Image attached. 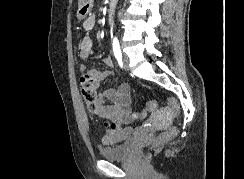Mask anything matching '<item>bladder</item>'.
<instances>
[{
  "label": "bladder",
  "instance_id": "obj_1",
  "mask_svg": "<svg viewBox=\"0 0 244 179\" xmlns=\"http://www.w3.org/2000/svg\"><path fill=\"white\" fill-rule=\"evenodd\" d=\"M134 139L128 140L123 144H115L110 147L100 149V157L107 160H120L127 158L133 150L132 142Z\"/></svg>",
  "mask_w": 244,
  "mask_h": 179
}]
</instances>
